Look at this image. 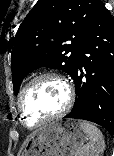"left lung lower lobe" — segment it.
<instances>
[{"label":"left lung lower lobe","instance_id":"0a47b994","mask_svg":"<svg viewBox=\"0 0 114 156\" xmlns=\"http://www.w3.org/2000/svg\"><path fill=\"white\" fill-rule=\"evenodd\" d=\"M72 78L77 97L65 118L95 122L113 134L114 19L102 2L81 42Z\"/></svg>","mask_w":114,"mask_h":156}]
</instances>
